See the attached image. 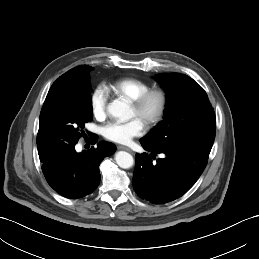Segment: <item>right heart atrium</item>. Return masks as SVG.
Listing matches in <instances>:
<instances>
[{"label": "right heart atrium", "instance_id": "right-heart-atrium-1", "mask_svg": "<svg viewBox=\"0 0 259 259\" xmlns=\"http://www.w3.org/2000/svg\"><path fill=\"white\" fill-rule=\"evenodd\" d=\"M109 101L108 88L103 84H98L90 95V105L94 117L102 121L107 116Z\"/></svg>", "mask_w": 259, "mask_h": 259}]
</instances>
